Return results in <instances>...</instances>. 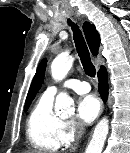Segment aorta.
Here are the masks:
<instances>
[{
	"instance_id": "1",
	"label": "aorta",
	"mask_w": 130,
	"mask_h": 153,
	"mask_svg": "<svg viewBox=\"0 0 130 153\" xmlns=\"http://www.w3.org/2000/svg\"><path fill=\"white\" fill-rule=\"evenodd\" d=\"M73 64V58L62 53L52 62V77L57 80H63ZM55 111L61 114H71L74 111V101L65 92H60L55 101ZM109 131V121L106 117L101 119L94 129L92 139L86 149V153H101Z\"/></svg>"
}]
</instances>
